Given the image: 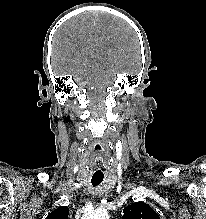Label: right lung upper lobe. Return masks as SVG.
Segmentation results:
<instances>
[{"mask_svg": "<svg viewBox=\"0 0 206 219\" xmlns=\"http://www.w3.org/2000/svg\"><path fill=\"white\" fill-rule=\"evenodd\" d=\"M69 209L67 206H61L52 211L46 219H68Z\"/></svg>", "mask_w": 206, "mask_h": 219, "instance_id": "1", "label": "right lung upper lobe"}]
</instances>
